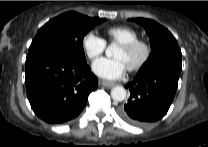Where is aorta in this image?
Listing matches in <instances>:
<instances>
[{"label":"aorta","mask_w":208,"mask_h":147,"mask_svg":"<svg viewBox=\"0 0 208 147\" xmlns=\"http://www.w3.org/2000/svg\"><path fill=\"white\" fill-rule=\"evenodd\" d=\"M115 48L114 44H111L107 49H106V56L111 57L112 52ZM111 97L115 101H123L126 98V90L122 86H116L111 90Z\"/></svg>","instance_id":"aorta-1"}]
</instances>
